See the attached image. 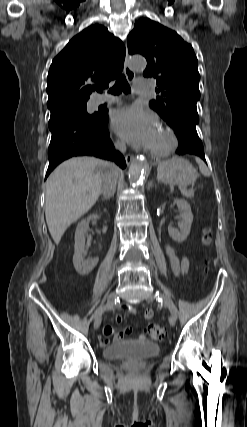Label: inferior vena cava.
I'll return each mask as SVG.
<instances>
[{
    "instance_id": "inferior-vena-cava-1",
    "label": "inferior vena cava",
    "mask_w": 247,
    "mask_h": 427,
    "mask_svg": "<svg viewBox=\"0 0 247 427\" xmlns=\"http://www.w3.org/2000/svg\"><path fill=\"white\" fill-rule=\"evenodd\" d=\"M115 148L122 153H125L126 151V145L124 142H116ZM108 167L109 170L105 174L102 182V194L106 199L114 195L119 174L118 168L114 163L108 162Z\"/></svg>"
}]
</instances>
